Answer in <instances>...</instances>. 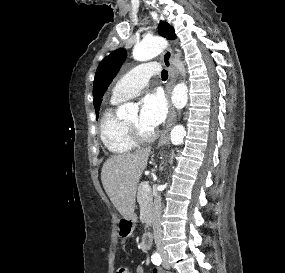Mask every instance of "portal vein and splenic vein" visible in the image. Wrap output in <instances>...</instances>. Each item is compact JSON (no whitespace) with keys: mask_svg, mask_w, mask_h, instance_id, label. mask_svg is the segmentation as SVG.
I'll return each mask as SVG.
<instances>
[{"mask_svg":"<svg viewBox=\"0 0 285 273\" xmlns=\"http://www.w3.org/2000/svg\"><path fill=\"white\" fill-rule=\"evenodd\" d=\"M143 189H144L146 192H148V191L151 190V188H150V186H149L148 183H145V184L143 185Z\"/></svg>","mask_w":285,"mask_h":273,"instance_id":"1","label":"portal vein and splenic vein"}]
</instances>
